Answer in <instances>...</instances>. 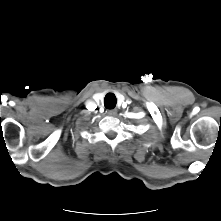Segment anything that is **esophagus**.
<instances>
[{
    "label": "esophagus",
    "mask_w": 221,
    "mask_h": 221,
    "mask_svg": "<svg viewBox=\"0 0 221 221\" xmlns=\"http://www.w3.org/2000/svg\"><path fill=\"white\" fill-rule=\"evenodd\" d=\"M107 114L110 116H115L117 115V110L116 109H110L107 111Z\"/></svg>",
    "instance_id": "obj_1"
}]
</instances>
